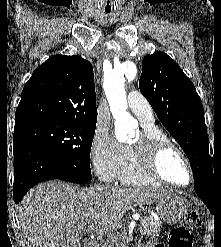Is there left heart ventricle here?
I'll use <instances>...</instances> for the list:
<instances>
[{"label":"left heart ventricle","mask_w":221,"mask_h":247,"mask_svg":"<svg viewBox=\"0 0 221 247\" xmlns=\"http://www.w3.org/2000/svg\"><path fill=\"white\" fill-rule=\"evenodd\" d=\"M139 138V137H138ZM136 138L133 142H135ZM160 169L165 178L177 184H187L189 173L182 158L175 152H167L160 159Z\"/></svg>","instance_id":"1"}]
</instances>
